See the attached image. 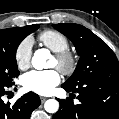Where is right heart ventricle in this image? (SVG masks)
Returning <instances> with one entry per match:
<instances>
[{
  "instance_id": "right-heart-ventricle-1",
  "label": "right heart ventricle",
  "mask_w": 119,
  "mask_h": 119,
  "mask_svg": "<svg viewBox=\"0 0 119 119\" xmlns=\"http://www.w3.org/2000/svg\"><path fill=\"white\" fill-rule=\"evenodd\" d=\"M39 41L53 52L69 49V40L61 32L56 30H45L38 35Z\"/></svg>"
}]
</instances>
